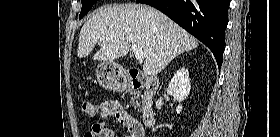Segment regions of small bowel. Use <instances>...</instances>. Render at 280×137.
Here are the masks:
<instances>
[{"label": "small bowel", "mask_w": 280, "mask_h": 137, "mask_svg": "<svg viewBox=\"0 0 280 137\" xmlns=\"http://www.w3.org/2000/svg\"><path fill=\"white\" fill-rule=\"evenodd\" d=\"M100 121L93 124L90 131L86 132L84 137H116L115 125L110 121V117H114L120 125L125 127L130 137L131 127L136 126L141 130L140 124L129 115L122 106L115 100H108L101 105Z\"/></svg>", "instance_id": "1"}]
</instances>
